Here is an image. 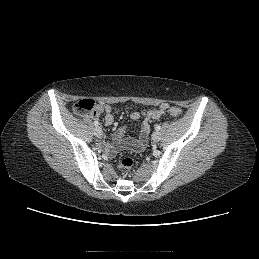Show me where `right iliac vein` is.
<instances>
[{"label": "right iliac vein", "mask_w": 259, "mask_h": 259, "mask_svg": "<svg viewBox=\"0 0 259 259\" xmlns=\"http://www.w3.org/2000/svg\"><path fill=\"white\" fill-rule=\"evenodd\" d=\"M94 134H95V136H97V137H100L101 135H102V129H101V127H96L95 129H94Z\"/></svg>", "instance_id": "right-iliac-vein-1"}]
</instances>
